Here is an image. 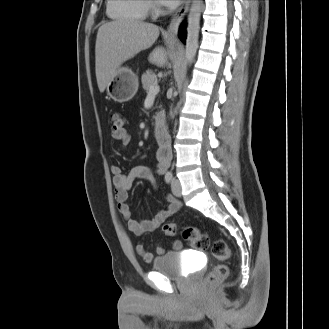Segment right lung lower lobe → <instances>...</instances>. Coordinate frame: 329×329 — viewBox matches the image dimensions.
<instances>
[{
	"mask_svg": "<svg viewBox=\"0 0 329 329\" xmlns=\"http://www.w3.org/2000/svg\"><path fill=\"white\" fill-rule=\"evenodd\" d=\"M185 23H183L180 26V30H179V38L181 39L182 42H185V38H186V31H185Z\"/></svg>",
	"mask_w": 329,
	"mask_h": 329,
	"instance_id": "1",
	"label": "right lung lower lobe"
}]
</instances>
